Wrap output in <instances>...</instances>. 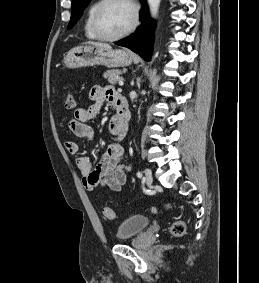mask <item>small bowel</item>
I'll use <instances>...</instances> for the list:
<instances>
[{"label":"small bowel","instance_id":"1","mask_svg":"<svg viewBox=\"0 0 259 283\" xmlns=\"http://www.w3.org/2000/svg\"><path fill=\"white\" fill-rule=\"evenodd\" d=\"M92 104L89 107L77 108L74 118L69 121L70 131L77 137L90 140L93 128L88 124L99 113L105 102L116 106L119 94L111 86H94L89 94ZM127 127L121 128L116 124L115 116L109 122V131L114 142L103 153L100 161L94 167L86 156H78L76 166L82 175L83 185L89 190L106 187L113 191H121L127 184V172L131 169L130 163H125V150L121 141L125 137ZM66 151L73 156L78 155L79 145L75 141L65 143Z\"/></svg>","mask_w":259,"mask_h":283}]
</instances>
